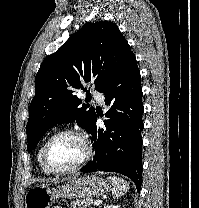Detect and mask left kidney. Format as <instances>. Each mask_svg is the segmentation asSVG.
<instances>
[{
	"instance_id": "1",
	"label": "left kidney",
	"mask_w": 199,
	"mask_h": 208,
	"mask_svg": "<svg viewBox=\"0 0 199 208\" xmlns=\"http://www.w3.org/2000/svg\"><path fill=\"white\" fill-rule=\"evenodd\" d=\"M104 208H120V207L116 205H107Z\"/></svg>"
}]
</instances>
